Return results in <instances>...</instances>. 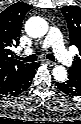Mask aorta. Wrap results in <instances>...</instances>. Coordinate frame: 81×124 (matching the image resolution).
Here are the masks:
<instances>
[{
	"mask_svg": "<svg viewBox=\"0 0 81 124\" xmlns=\"http://www.w3.org/2000/svg\"><path fill=\"white\" fill-rule=\"evenodd\" d=\"M26 33L34 38L44 36L48 31V23L40 17H31L25 24ZM56 81H64L67 78V70L63 66H56L52 71Z\"/></svg>",
	"mask_w": 81,
	"mask_h": 124,
	"instance_id": "762f6f07",
	"label": "aorta"
}]
</instances>
